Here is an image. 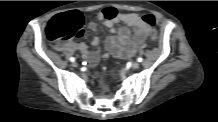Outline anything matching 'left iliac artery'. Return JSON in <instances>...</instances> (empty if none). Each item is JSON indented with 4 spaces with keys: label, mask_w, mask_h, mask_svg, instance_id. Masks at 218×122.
<instances>
[{
    "label": "left iliac artery",
    "mask_w": 218,
    "mask_h": 122,
    "mask_svg": "<svg viewBox=\"0 0 218 122\" xmlns=\"http://www.w3.org/2000/svg\"><path fill=\"white\" fill-rule=\"evenodd\" d=\"M137 61H138V62H142V61H143V58H142V57H139V58L137 59Z\"/></svg>",
    "instance_id": "obj_1"
}]
</instances>
